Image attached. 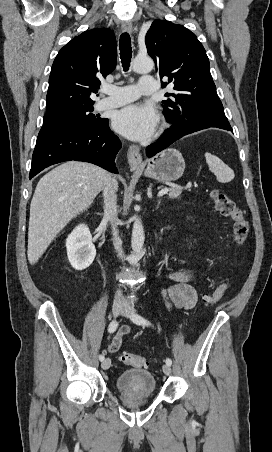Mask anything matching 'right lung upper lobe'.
Segmentation results:
<instances>
[{
  "mask_svg": "<svg viewBox=\"0 0 272 452\" xmlns=\"http://www.w3.org/2000/svg\"><path fill=\"white\" fill-rule=\"evenodd\" d=\"M117 61L116 40L108 29L83 32L56 56L49 77L46 114L93 105L91 93Z\"/></svg>",
  "mask_w": 272,
  "mask_h": 452,
  "instance_id": "obj_1",
  "label": "right lung upper lobe"
}]
</instances>
